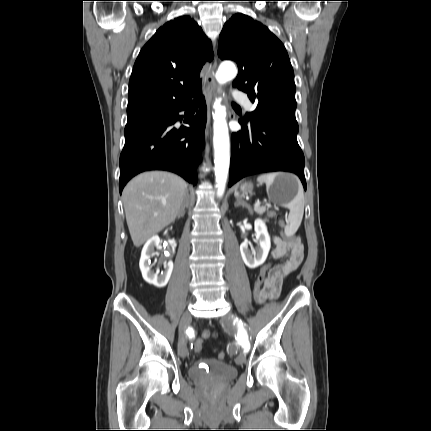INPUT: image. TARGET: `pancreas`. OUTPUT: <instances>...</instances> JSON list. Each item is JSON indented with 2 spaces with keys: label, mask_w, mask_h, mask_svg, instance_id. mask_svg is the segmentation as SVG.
<instances>
[{
  "label": "pancreas",
  "mask_w": 431,
  "mask_h": 431,
  "mask_svg": "<svg viewBox=\"0 0 431 431\" xmlns=\"http://www.w3.org/2000/svg\"><path fill=\"white\" fill-rule=\"evenodd\" d=\"M254 211L259 215H262L267 211V216L270 218L275 216V214L273 212H268V209L266 208V206L255 207Z\"/></svg>",
  "instance_id": "obj_1"
}]
</instances>
